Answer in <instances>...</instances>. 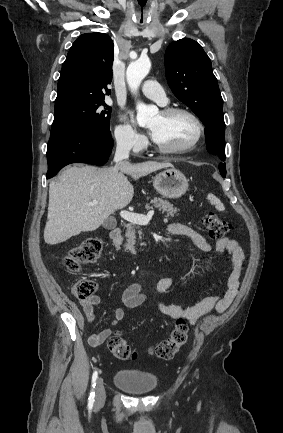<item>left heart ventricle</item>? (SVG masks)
<instances>
[{
    "mask_svg": "<svg viewBox=\"0 0 283 433\" xmlns=\"http://www.w3.org/2000/svg\"><path fill=\"white\" fill-rule=\"evenodd\" d=\"M158 136V143L165 148L179 149L190 143L197 133L194 120L186 114L165 118L159 113L149 125Z\"/></svg>",
    "mask_w": 283,
    "mask_h": 433,
    "instance_id": "left-heart-ventricle-1",
    "label": "left heart ventricle"
}]
</instances>
